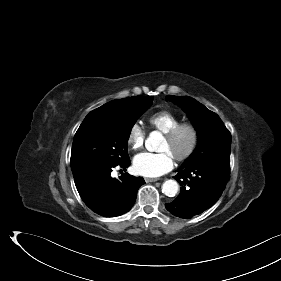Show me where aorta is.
Instances as JSON below:
<instances>
[{"label":"aorta","mask_w":281,"mask_h":281,"mask_svg":"<svg viewBox=\"0 0 281 281\" xmlns=\"http://www.w3.org/2000/svg\"><path fill=\"white\" fill-rule=\"evenodd\" d=\"M161 138V134L159 132L150 133L149 137L145 141V147L148 151H155L156 147ZM179 190V185L175 180H167L162 185V192L169 197H174Z\"/></svg>","instance_id":"1"}]
</instances>
